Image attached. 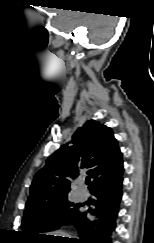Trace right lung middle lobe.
Wrapping results in <instances>:
<instances>
[{
	"label": "right lung middle lobe",
	"instance_id": "dd1d6c3e",
	"mask_svg": "<svg viewBox=\"0 0 154 243\" xmlns=\"http://www.w3.org/2000/svg\"><path fill=\"white\" fill-rule=\"evenodd\" d=\"M79 211V204L71 203L67 196L26 208L21 228L25 239L40 238L39 234L60 227Z\"/></svg>",
	"mask_w": 154,
	"mask_h": 243
}]
</instances>
